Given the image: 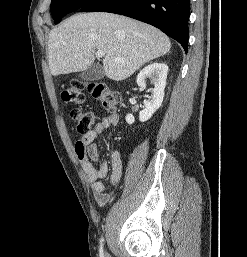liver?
<instances>
[{
	"instance_id": "6515ba94",
	"label": "liver",
	"mask_w": 247,
	"mask_h": 257,
	"mask_svg": "<svg viewBox=\"0 0 247 257\" xmlns=\"http://www.w3.org/2000/svg\"><path fill=\"white\" fill-rule=\"evenodd\" d=\"M170 48V39L146 23L112 13L76 14L51 30L48 62L53 76L80 72L102 50L105 75L121 81Z\"/></svg>"
}]
</instances>
